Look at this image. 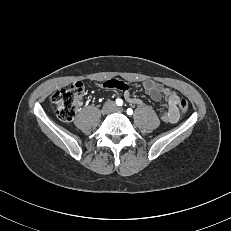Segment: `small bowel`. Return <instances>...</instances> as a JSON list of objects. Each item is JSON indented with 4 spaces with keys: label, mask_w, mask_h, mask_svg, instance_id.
<instances>
[{
    "label": "small bowel",
    "mask_w": 231,
    "mask_h": 231,
    "mask_svg": "<svg viewBox=\"0 0 231 231\" xmlns=\"http://www.w3.org/2000/svg\"><path fill=\"white\" fill-rule=\"evenodd\" d=\"M104 87L115 89L123 92L125 100L130 104L144 105V101L131 96L128 90V86L118 80H107L104 83ZM144 90L146 94L153 101H160L163 97L166 100V109L161 114V119L166 123H176L179 119V109L178 103L180 97L174 91L169 88L163 87L161 84H158L152 80H146L143 83Z\"/></svg>",
    "instance_id": "small-bowel-1"
}]
</instances>
